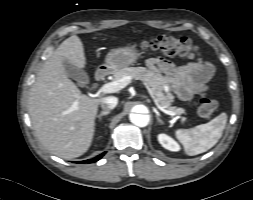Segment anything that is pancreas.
I'll return each mask as SVG.
<instances>
[{"instance_id":"cf45deb5","label":"pancreas","mask_w":253,"mask_h":200,"mask_svg":"<svg viewBox=\"0 0 253 200\" xmlns=\"http://www.w3.org/2000/svg\"><path fill=\"white\" fill-rule=\"evenodd\" d=\"M125 76H130L132 79H140L147 83L151 88L158 103L165 109L175 112L176 114H183L185 110L183 108L172 107L173 101L172 94L164 93V86L167 84V79L164 78L157 70H150L145 67H125L114 72V81L119 80ZM130 80V81H131ZM185 118H182L184 121Z\"/></svg>"}]
</instances>
